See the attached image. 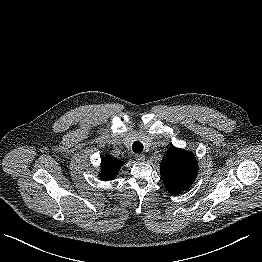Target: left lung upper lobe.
<instances>
[{"mask_svg":"<svg viewBox=\"0 0 262 262\" xmlns=\"http://www.w3.org/2000/svg\"><path fill=\"white\" fill-rule=\"evenodd\" d=\"M160 173L167 191L171 194L187 190L198 173L195 155L172 146L161 161Z\"/></svg>","mask_w":262,"mask_h":262,"instance_id":"5c2ea615","label":"left lung upper lobe"}]
</instances>
